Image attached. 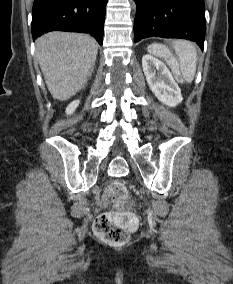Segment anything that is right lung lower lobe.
<instances>
[{"label":"right lung lower lobe","mask_w":233,"mask_h":284,"mask_svg":"<svg viewBox=\"0 0 233 284\" xmlns=\"http://www.w3.org/2000/svg\"><path fill=\"white\" fill-rule=\"evenodd\" d=\"M107 0H34L32 36L50 31L90 33L103 41Z\"/></svg>","instance_id":"right-lung-lower-lobe-1"}]
</instances>
